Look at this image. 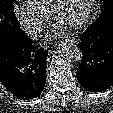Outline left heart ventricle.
Here are the masks:
<instances>
[{"mask_svg": "<svg viewBox=\"0 0 113 113\" xmlns=\"http://www.w3.org/2000/svg\"><path fill=\"white\" fill-rule=\"evenodd\" d=\"M87 2L88 0H65L58 11V24L68 27L79 21L85 12Z\"/></svg>", "mask_w": 113, "mask_h": 113, "instance_id": "obj_1", "label": "left heart ventricle"}]
</instances>
